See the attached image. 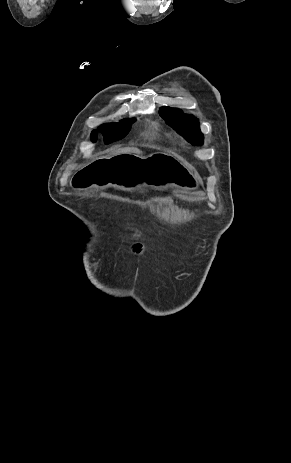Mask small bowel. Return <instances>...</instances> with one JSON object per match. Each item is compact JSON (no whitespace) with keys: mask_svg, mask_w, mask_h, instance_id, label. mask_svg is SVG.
Returning a JSON list of instances; mask_svg holds the SVG:
<instances>
[{"mask_svg":"<svg viewBox=\"0 0 291 463\" xmlns=\"http://www.w3.org/2000/svg\"><path fill=\"white\" fill-rule=\"evenodd\" d=\"M134 250L139 253L142 251V244L141 243H136L134 246Z\"/></svg>","mask_w":291,"mask_h":463,"instance_id":"small-bowel-1","label":"small bowel"}]
</instances>
